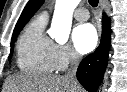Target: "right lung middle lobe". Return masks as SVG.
<instances>
[{
    "label": "right lung middle lobe",
    "instance_id": "obj_1",
    "mask_svg": "<svg viewBox=\"0 0 127 92\" xmlns=\"http://www.w3.org/2000/svg\"><path fill=\"white\" fill-rule=\"evenodd\" d=\"M20 32V30H18L17 32H15L12 36V43H11V51H10V55H9V60L11 59L12 57V52H13V43H14V40L16 39L18 33Z\"/></svg>",
    "mask_w": 127,
    "mask_h": 92
}]
</instances>
